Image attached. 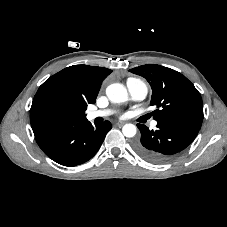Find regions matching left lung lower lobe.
<instances>
[{
	"instance_id": "left-lung-lower-lobe-1",
	"label": "left lung lower lobe",
	"mask_w": 227,
	"mask_h": 227,
	"mask_svg": "<svg viewBox=\"0 0 227 227\" xmlns=\"http://www.w3.org/2000/svg\"><path fill=\"white\" fill-rule=\"evenodd\" d=\"M141 139L133 145L134 150L143 159L156 164L170 161L180 151L189 146L199 129L175 122H157L156 130H149L137 124Z\"/></svg>"
}]
</instances>
